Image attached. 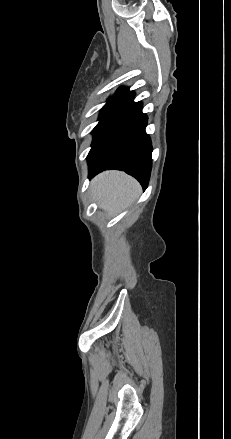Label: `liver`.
Here are the masks:
<instances>
[{"mask_svg": "<svg viewBox=\"0 0 231 439\" xmlns=\"http://www.w3.org/2000/svg\"><path fill=\"white\" fill-rule=\"evenodd\" d=\"M92 190L100 208L117 213L129 207L139 196L141 187L131 176L120 171H106L92 181Z\"/></svg>", "mask_w": 231, "mask_h": 439, "instance_id": "6515ba94", "label": "liver"}]
</instances>
